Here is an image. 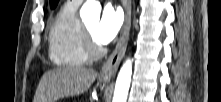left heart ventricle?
Wrapping results in <instances>:
<instances>
[{
	"instance_id": "b2bd125f",
	"label": "left heart ventricle",
	"mask_w": 221,
	"mask_h": 102,
	"mask_svg": "<svg viewBox=\"0 0 221 102\" xmlns=\"http://www.w3.org/2000/svg\"><path fill=\"white\" fill-rule=\"evenodd\" d=\"M96 26H97V21H92L86 24V27L88 28V30L90 31L93 37H94Z\"/></svg>"
}]
</instances>
